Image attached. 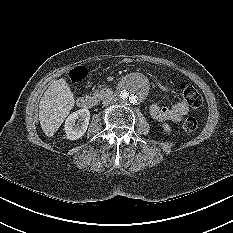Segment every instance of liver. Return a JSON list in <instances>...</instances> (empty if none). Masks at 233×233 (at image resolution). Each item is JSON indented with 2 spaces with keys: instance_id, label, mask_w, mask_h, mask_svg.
Returning <instances> with one entry per match:
<instances>
[{
  "instance_id": "6515ba94",
  "label": "liver",
  "mask_w": 233,
  "mask_h": 233,
  "mask_svg": "<svg viewBox=\"0 0 233 233\" xmlns=\"http://www.w3.org/2000/svg\"><path fill=\"white\" fill-rule=\"evenodd\" d=\"M74 104V95L64 78L50 83L39 103L40 125L48 137L59 129Z\"/></svg>"
}]
</instances>
